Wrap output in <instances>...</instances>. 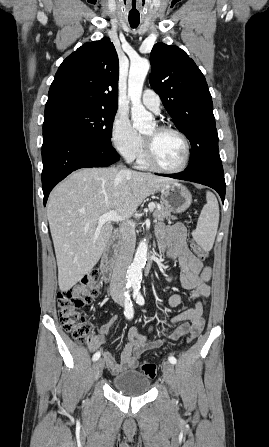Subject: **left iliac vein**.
Here are the masks:
<instances>
[{
	"label": "left iliac vein",
	"instance_id": "1",
	"mask_svg": "<svg viewBox=\"0 0 269 447\" xmlns=\"http://www.w3.org/2000/svg\"><path fill=\"white\" fill-rule=\"evenodd\" d=\"M162 372H163L164 380H165L168 384H170V382H171L172 379H173L174 372H175V369H174L173 364L170 363V362H163V363H162Z\"/></svg>",
	"mask_w": 269,
	"mask_h": 447
}]
</instances>
